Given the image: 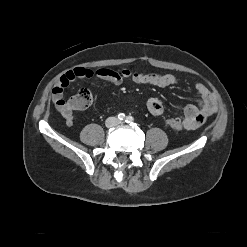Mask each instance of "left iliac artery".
Segmentation results:
<instances>
[{"instance_id": "left-iliac-artery-1", "label": "left iliac artery", "mask_w": 247, "mask_h": 247, "mask_svg": "<svg viewBox=\"0 0 247 247\" xmlns=\"http://www.w3.org/2000/svg\"><path fill=\"white\" fill-rule=\"evenodd\" d=\"M127 123H131L134 121V118L132 116H127L126 117V120H125Z\"/></svg>"}]
</instances>
